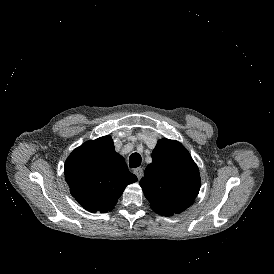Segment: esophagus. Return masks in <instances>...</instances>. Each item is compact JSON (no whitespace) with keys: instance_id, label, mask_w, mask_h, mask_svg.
Wrapping results in <instances>:
<instances>
[{"instance_id":"esophagus-1","label":"esophagus","mask_w":274,"mask_h":274,"mask_svg":"<svg viewBox=\"0 0 274 274\" xmlns=\"http://www.w3.org/2000/svg\"><path fill=\"white\" fill-rule=\"evenodd\" d=\"M133 173L137 176L138 179H141L143 176V169L141 167H137L133 169Z\"/></svg>"}]
</instances>
